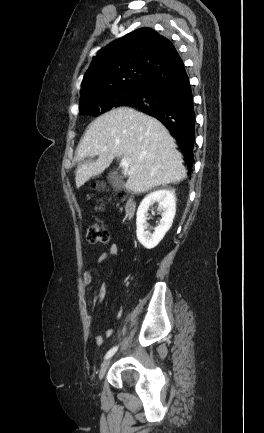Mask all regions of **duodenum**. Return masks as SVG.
Listing matches in <instances>:
<instances>
[{"label": "duodenum", "instance_id": "1", "mask_svg": "<svg viewBox=\"0 0 264 433\" xmlns=\"http://www.w3.org/2000/svg\"><path fill=\"white\" fill-rule=\"evenodd\" d=\"M136 209V203L133 199H128L125 203L124 211L127 218H131Z\"/></svg>", "mask_w": 264, "mask_h": 433}]
</instances>
